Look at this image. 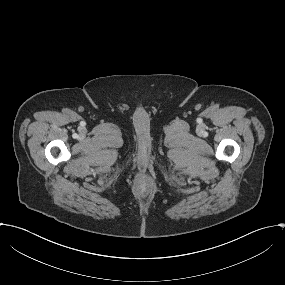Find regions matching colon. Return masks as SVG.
<instances>
[{"label": "colon", "mask_w": 285, "mask_h": 285, "mask_svg": "<svg viewBox=\"0 0 285 285\" xmlns=\"http://www.w3.org/2000/svg\"><path fill=\"white\" fill-rule=\"evenodd\" d=\"M139 185H141V186H146V185H147V180H146L145 178H141V179L139 180Z\"/></svg>", "instance_id": "colon-1"}]
</instances>
